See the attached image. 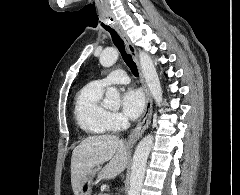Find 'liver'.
I'll return each instance as SVG.
<instances>
[{"mask_svg": "<svg viewBox=\"0 0 240 195\" xmlns=\"http://www.w3.org/2000/svg\"><path fill=\"white\" fill-rule=\"evenodd\" d=\"M130 145L117 135H89L72 151L71 157V185L74 195H79L84 181L104 161H108L99 173V179H114L128 165V151Z\"/></svg>", "mask_w": 240, "mask_h": 195, "instance_id": "6515ba94", "label": "liver"}]
</instances>
